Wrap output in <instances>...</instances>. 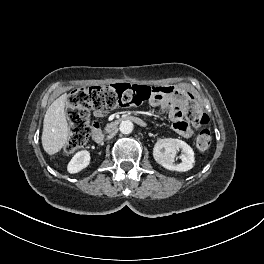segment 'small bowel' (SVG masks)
<instances>
[{"label": "small bowel", "instance_id": "small-bowel-1", "mask_svg": "<svg viewBox=\"0 0 264 264\" xmlns=\"http://www.w3.org/2000/svg\"><path fill=\"white\" fill-rule=\"evenodd\" d=\"M159 91L151 97L152 107L164 111L172 121L174 130L182 137L189 138L193 134L192 128L183 120V109L187 99V91L174 86L155 87ZM104 112H95V116L102 117Z\"/></svg>", "mask_w": 264, "mask_h": 264}]
</instances>
